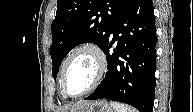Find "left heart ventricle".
<instances>
[{
	"label": "left heart ventricle",
	"instance_id": "left-heart-ventricle-1",
	"mask_svg": "<svg viewBox=\"0 0 193 112\" xmlns=\"http://www.w3.org/2000/svg\"><path fill=\"white\" fill-rule=\"evenodd\" d=\"M96 72V62L89 52L76 54L67 67L66 84L71 94L84 91L92 83Z\"/></svg>",
	"mask_w": 193,
	"mask_h": 112
}]
</instances>
